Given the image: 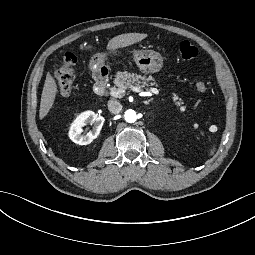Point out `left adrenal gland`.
<instances>
[{
  "label": "left adrenal gland",
  "mask_w": 255,
  "mask_h": 255,
  "mask_svg": "<svg viewBox=\"0 0 255 255\" xmlns=\"http://www.w3.org/2000/svg\"><path fill=\"white\" fill-rule=\"evenodd\" d=\"M153 99H149L147 101H144L145 104H149Z\"/></svg>",
  "instance_id": "a2214340"
}]
</instances>
